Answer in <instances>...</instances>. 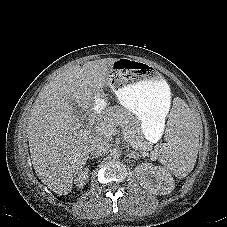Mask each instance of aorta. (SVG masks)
<instances>
[{"label":"aorta","instance_id":"obj_1","mask_svg":"<svg viewBox=\"0 0 227 227\" xmlns=\"http://www.w3.org/2000/svg\"><path fill=\"white\" fill-rule=\"evenodd\" d=\"M110 155H111L114 159H118V158H120V156H121V151H120L119 149H117V148H114V149L111 150Z\"/></svg>","mask_w":227,"mask_h":227}]
</instances>
